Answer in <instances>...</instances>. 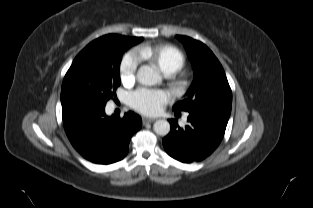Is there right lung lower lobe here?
I'll return each instance as SVG.
<instances>
[{"mask_svg": "<svg viewBox=\"0 0 313 208\" xmlns=\"http://www.w3.org/2000/svg\"><path fill=\"white\" fill-rule=\"evenodd\" d=\"M63 124L73 147L87 160L110 164L128 153L132 135L142 125L140 116H107L105 105L73 92L61 95Z\"/></svg>", "mask_w": 313, "mask_h": 208, "instance_id": "1", "label": "right lung lower lobe"}]
</instances>
